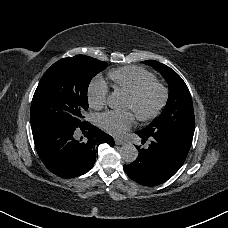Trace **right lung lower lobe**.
Here are the masks:
<instances>
[{
	"mask_svg": "<svg viewBox=\"0 0 228 228\" xmlns=\"http://www.w3.org/2000/svg\"><path fill=\"white\" fill-rule=\"evenodd\" d=\"M31 128L40 159L52 173L63 178H73L90 170L100 144L114 145L110 135L89 122L78 127L45 122Z\"/></svg>",
	"mask_w": 228,
	"mask_h": 228,
	"instance_id": "1",
	"label": "right lung lower lobe"
}]
</instances>
